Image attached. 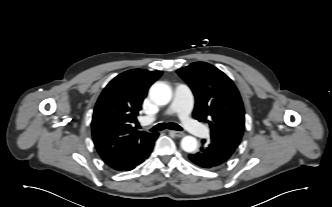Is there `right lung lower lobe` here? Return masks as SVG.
I'll use <instances>...</instances> for the list:
<instances>
[{
    "label": "right lung lower lobe",
    "mask_w": 332,
    "mask_h": 207,
    "mask_svg": "<svg viewBox=\"0 0 332 207\" xmlns=\"http://www.w3.org/2000/svg\"><path fill=\"white\" fill-rule=\"evenodd\" d=\"M158 137V133L155 134V136L153 137L150 145L148 146L146 152L142 155V157L140 159H138L136 162H134L133 164L123 168V169H115L117 171H130L132 169H134L137 165L141 164L146 158H148V156L150 155L153 146H154V142L156 140V138Z\"/></svg>",
    "instance_id": "1"
}]
</instances>
